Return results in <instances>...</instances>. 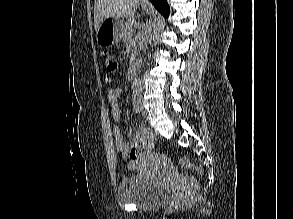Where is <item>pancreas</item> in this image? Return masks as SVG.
Masks as SVG:
<instances>
[{
    "label": "pancreas",
    "instance_id": "obj_1",
    "mask_svg": "<svg viewBox=\"0 0 293 219\" xmlns=\"http://www.w3.org/2000/svg\"><path fill=\"white\" fill-rule=\"evenodd\" d=\"M134 24V18H130L124 23V32L122 35L123 41H128L134 35Z\"/></svg>",
    "mask_w": 293,
    "mask_h": 219
}]
</instances>
